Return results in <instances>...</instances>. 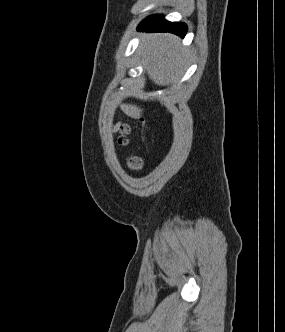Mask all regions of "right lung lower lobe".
Wrapping results in <instances>:
<instances>
[{
  "label": "right lung lower lobe",
  "instance_id": "98d812e1",
  "mask_svg": "<svg viewBox=\"0 0 285 332\" xmlns=\"http://www.w3.org/2000/svg\"><path fill=\"white\" fill-rule=\"evenodd\" d=\"M138 31L170 32L183 38L187 32V26L185 23L169 22L162 16L153 15L140 23Z\"/></svg>",
  "mask_w": 285,
  "mask_h": 332
}]
</instances>
